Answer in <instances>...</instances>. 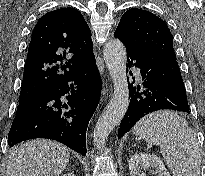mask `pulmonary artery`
<instances>
[{
    "label": "pulmonary artery",
    "instance_id": "pulmonary-artery-1",
    "mask_svg": "<svg viewBox=\"0 0 205 176\" xmlns=\"http://www.w3.org/2000/svg\"><path fill=\"white\" fill-rule=\"evenodd\" d=\"M135 73L137 74V76H140V72L138 69H135Z\"/></svg>",
    "mask_w": 205,
    "mask_h": 176
}]
</instances>
